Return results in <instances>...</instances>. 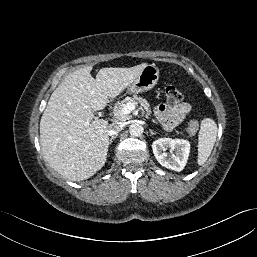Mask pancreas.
<instances>
[{
    "label": "pancreas",
    "instance_id": "cf45deb5",
    "mask_svg": "<svg viewBox=\"0 0 257 257\" xmlns=\"http://www.w3.org/2000/svg\"><path fill=\"white\" fill-rule=\"evenodd\" d=\"M127 103H133L135 105L140 103L141 106L147 111V115H150V105L148 101L142 97H138L137 95H134L133 97H126L124 100L117 103L116 106L114 107L113 113L119 120H124L129 118L128 115H125L122 113V110Z\"/></svg>",
    "mask_w": 257,
    "mask_h": 257
}]
</instances>
